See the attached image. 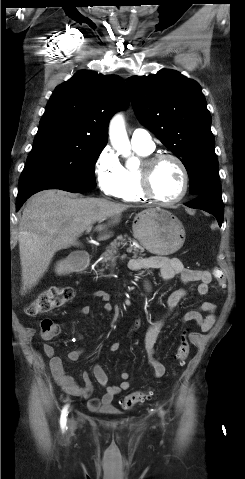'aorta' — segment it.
<instances>
[{"instance_id": "762f6f07", "label": "aorta", "mask_w": 245, "mask_h": 479, "mask_svg": "<svg viewBox=\"0 0 245 479\" xmlns=\"http://www.w3.org/2000/svg\"><path fill=\"white\" fill-rule=\"evenodd\" d=\"M109 137L112 146L118 154L128 157L130 155V142L125 129L124 119L121 114L116 115L110 123Z\"/></svg>"}]
</instances>
